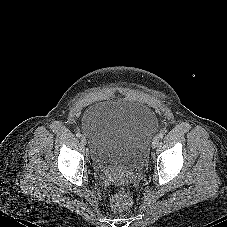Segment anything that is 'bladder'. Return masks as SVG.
Returning <instances> with one entry per match:
<instances>
[{"mask_svg": "<svg viewBox=\"0 0 227 227\" xmlns=\"http://www.w3.org/2000/svg\"><path fill=\"white\" fill-rule=\"evenodd\" d=\"M158 127L155 113L133 101H101L84 113L82 130L91 145L97 172L143 168Z\"/></svg>", "mask_w": 227, "mask_h": 227, "instance_id": "bladder-1", "label": "bladder"}]
</instances>
